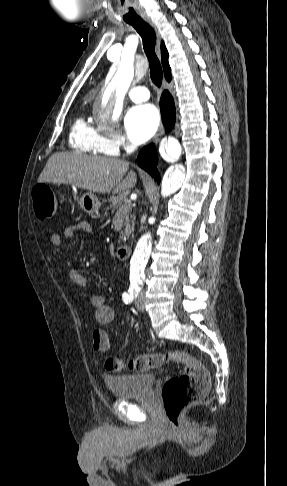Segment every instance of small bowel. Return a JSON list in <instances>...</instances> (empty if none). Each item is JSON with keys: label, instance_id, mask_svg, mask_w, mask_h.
<instances>
[{"label": "small bowel", "instance_id": "obj_1", "mask_svg": "<svg viewBox=\"0 0 287 486\" xmlns=\"http://www.w3.org/2000/svg\"><path fill=\"white\" fill-rule=\"evenodd\" d=\"M93 226L88 220H80L72 225L65 226L61 232H55L51 236V242L56 247L63 246L64 238L71 239L77 232L91 233ZM70 280L82 288L88 287L87 279L75 268L69 271ZM90 302L95 308V320L100 325H108L115 318V312L112 307L106 305L104 298L100 294H92Z\"/></svg>", "mask_w": 287, "mask_h": 486}]
</instances>
